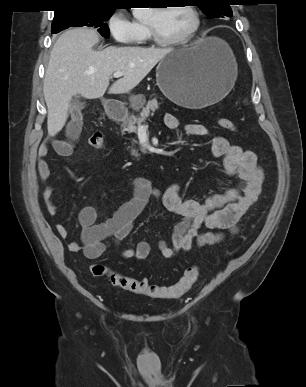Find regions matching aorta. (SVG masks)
<instances>
[{"mask_svg":"<svg viewBox=\"0 0 306 387\" xmlns=\"http://www.w3.org/2000/svg\"><path fill=\"white\" fill-rule=\"evenodd\" d=\"M132 13L136 19H142L146 15L149 14V9L148 8H132Z\"/></svg>","mask_w":306,"mask_h":387,"instance_id":"762f6f07","label":"aorta"}]
</instances>
